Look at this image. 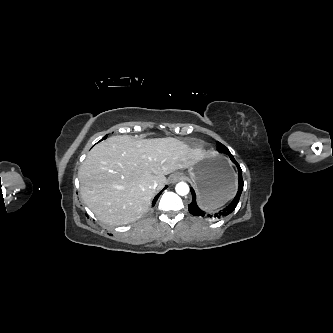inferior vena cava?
Here are the masks:
<instances>
[{
  "label": "inferior vena cava",
  "mask_w": 333,
  "mask_h": 333,
  "mask_svg": "<svg viewBox=\"0 0 333 333\" xmlns=\"http://www.w3.org/2000/svg\"><path fill=\"white\" fill-rule=\"evenodd\" d=\"M157 187H158V184H157V183H154V184L151 186L152 189H157Z\"/></svg>",
  "instance_id": "602c4592"
}]
</instances>
